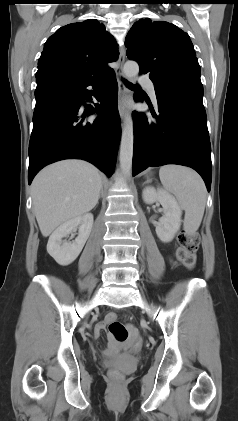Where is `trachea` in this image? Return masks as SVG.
I'll return each mask as SVG.
<instances>
[{"mask_svg":"<svg viewBox=\"0 0 238 421\" xmlns=\"http://www.w3.org/2000/svg\"><path fill=\"white\" fill-rule=\"evenodd\" d=\"M125 83L130 86V87H134L132 84H130L129 82L125 81Z\"/></svg>","mask_w":238,"mask_h":421,"instance_id":"trachea-1","label":"trachea"}]
</instances>
